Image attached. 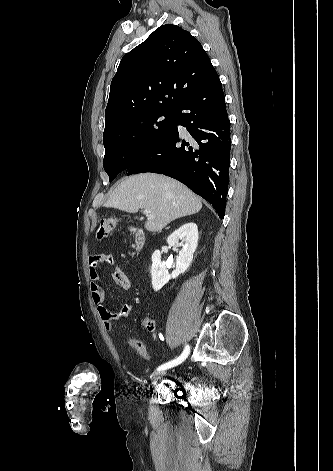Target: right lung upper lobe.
<instances>
[{
	"label": "right lung upper lobe",
	"instance_id": "obj_1",
	"mask_svg": "<svg viewBox=\"0 0 333 471\" xmlns=\"http://www.w3.org/2000/svg\"><path fill=\"white\" fill-rule=\"evenodd\" d=\"M217 77L203 47L188 31L162 25L122 58L111 82L105 129L147 110L175 112Z\"/></svg>",
	"mask_w": 333,
	"mask_h": 471
}]
</instances>
